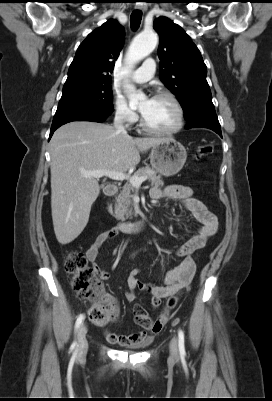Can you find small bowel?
Instances as JSON below:
<instances>
[{"instance_id":"c3829d8e","label":"small bowel","mask_w":272,"mask_h":401,"mask_svg":"<svg viewBox=\"0 0 272 401\" xmlns=\"http://www.w3.org/2000/svg\"><path fill=\"white\" fill-rule=\"evenodd\" d=\"M151 196L156 199L163 197L179 199L181 202V208L190 213V215L200 224L196 234L180 246L177 251V255L183 259L182 262L165 273L162 285H150L147 287L151 295V305L152 307L157 308L160 306L162 299L177 294L189 286L196 271L194 255L202 249L206 245L208 239L216 233L218 220L215 214L211 212L201 200L193 196V190L191 187L170 185L164 189L153 188L151 190ZM118 234L119 229L116 227L99 233L86 251L88 261L93 264L95 271L102 279H107L109 273L97 264L99 252ZM144 250V248L135 250L130 255V258H135L137 255L144 252ZM139 273L140 269L135 268L130 271L127 277L128 291L125 292V299L130 303L136 300V290L145 288V285L138 279ZM105 297L113 307V320H116L120 312L118 300L111 294H106ZM138 307L141 306H137L135 310ZM135 321L137 322L136 319ZM138 324L141 325L140 323ZM163 324L153 325L151 327L141 325L143 328L142 331L128 335H119L110 332L106 334V337L110 343L115 345L138 346L149 342L151 335L158 334L161 331Z\"/></svg>"}]
</instances>
